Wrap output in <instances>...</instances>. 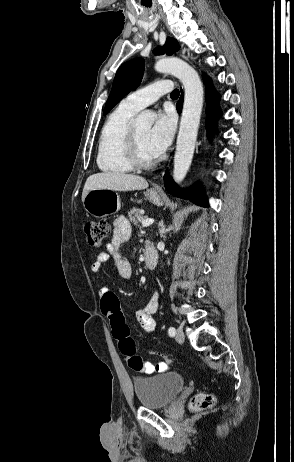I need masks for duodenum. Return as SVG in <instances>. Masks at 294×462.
I'll use <instances>...</instances> for the list:
<instances>
[{
  "mask_svg": "<svg viewBox=\"0 0 294 462\" xmlns=\"http://www.w3.org/2000/svg\"><path fill=\"white\" fill-rule=\"evenodd\" d=\"M144 262L149 269H154L158 262V252L151 244L144 246Z\"/></svg>",
  "mask_w": 294,
  "mask_h": 462,
  "instance_id": "410a0bca",
  "label": "duodenum"
}]
</instances>
